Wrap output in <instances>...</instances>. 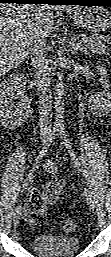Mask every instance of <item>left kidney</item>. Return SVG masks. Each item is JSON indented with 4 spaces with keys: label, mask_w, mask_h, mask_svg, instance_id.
<instances>
[{
    "label": "left kidney",
    "mask_w": 111,
    "mask_h": 257,
    "mask_svg": "<svg viewBox=\"0 0 111 257\" xmlns=\"http://www.w3.org/2000/svg\"><path fill=\"white\" fill-rule=\"evenodd\" d=\"M97 69L100 71L101 75V83L104 89H107L110 87L109 81L106 79L107 77V71L103 67V65L97 66ZM107 90H105L106 92ZM101 93L99 95L92 96L89 99V103L91 105V108L95 111L103 112L106 108H111V94L110 93Z\"/></svg>",
    "instance_id": "1"
}]
</instances>
